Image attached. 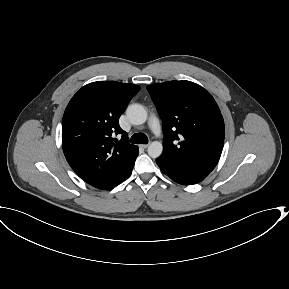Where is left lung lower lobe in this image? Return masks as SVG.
Masks as SVG:
<instances>
[{
    "instance_id": "obj_1",
    "label": "left lung lower lobe",
    "mask_w": 289,
    "mask_h": 289,
    "mask_svg": "<svg viewBox=\"0 0 289 289\" xmlns=\"http://www.w3.org/2000/svg\"><path fill=\"white\" fill-rule=\"evenodd\" d=\"M156 162L164 174L179 184H196L202 181L210 173L209 171L193 169L190 167L169 166L159 158Z\"/></svg>"
}]
</instances>
